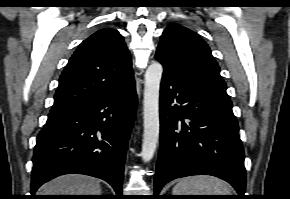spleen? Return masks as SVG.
I'll use <instances>...</instances> for the list:
<instances>
[{
  "label": "spleen",
  "mask_w": 290,
  "mask_h": 199,
  "mask_svg": "<svg viewBox=\"0 0 290 199\" xmlns=\"http://www.w3.org/2000/svg\"><path fill=\"white\" fill-rule=\"evenodd\" d=\"M173 195H231L229 185L213 176H191L181 179Z\"/></svg>",
  "instance_id": "obj_1"
}]
</instances>
